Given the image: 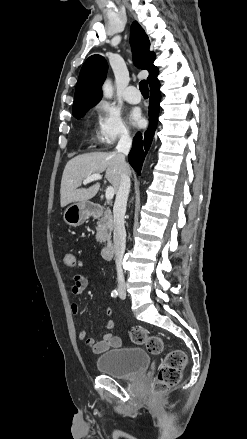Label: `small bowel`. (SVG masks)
<instances>
[{"instance_id": "small-bowel-1", "label": "small bowel", "mask_w": 247, "mask_h": 439, "mask_svg": "<svg viewBox=\"0 0 247 439\" xmlns=\"http://www.w3.org/2000/svg\"><path fill=\"white\" fill-rule=\"evenodd\" d=\"M73 284L71 286V291L74 295H80L86 289L88 285V280L85 276L76 274L73 276ZM71 312L73 314L79 313V305L73 302L70 306ZM112 314V309L107 307L105 309V316L108 318L105 323V329L110 331L114 327L113 320L109 319ZM79 339L85 343L87 347H89L93 353L101 354L109 350L110 348L120 347L122 345V340L120 337L108 332L104 335L103 339L100 341H96L93 338L87 337L86 331H81L79 333Z\"/></svg>"}]
</instances>
